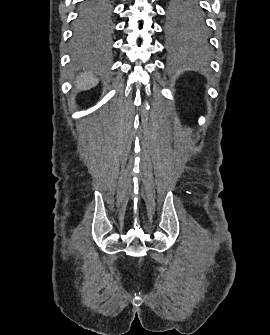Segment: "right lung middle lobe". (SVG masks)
I'll return each mask as SVG.
<instances>
[{"instance_id": "1", "label": "right lung middle lobe", "mask_w": 270, "mask_h": 335, "mask_svg": "<svg viewBox=\"0 0 270 335\" xmlns=\"http://www.w3.org/2000/svg\"><path fill=\"white\" fill-rule=\"evenodd\" d=\"M110 0H84L75 24V38L87 43L99 30L108 25Z\"/></svg>"}]
</instances>
